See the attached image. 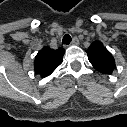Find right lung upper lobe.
<instances>
[{"label":"right lung upper lobe","mask_w":127,"mask_h":127,"mask_svg":"<svg viewBox=\"0 0 127 127\" xmlns=\"http://www.w3.org/2000/svg\"><path fill=\"white\" fill-rule=\"evenodd\" d=\"M65 53L63 48L57 50L44 47L35 57L34 71L41 77L49 76L61 63Z\"/></svg>","instance_id":"obj_1"}]
</instances>
